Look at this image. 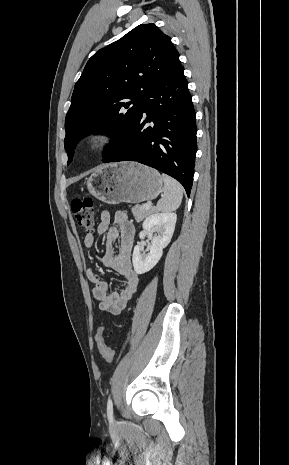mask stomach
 <instances>
[{
	"instance_id": "obj_1",
	"label": "stomach",
	"mask_w": 289,
	"mask_h": 465,
	"mask_svg": "<svg viewBox=\"0 0 289 465\" xmlns=\"http://www.w3.org/2000/svg\"><path fill=\"white\" fill-rule=\"evenodd\" d=\"M86 185L102 202L139 203L156 198L162 192L163 180L153 168L136 162H119L97 169Z\"/></svg>"
}]
</instances>
